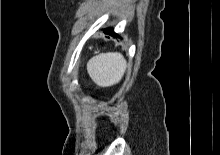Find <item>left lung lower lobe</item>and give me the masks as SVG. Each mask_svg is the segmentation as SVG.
Segmentation results:
<instances>
[{
  "instance_id": "obj_1",
  "label": "left lung lower lobe",
  "mask_w": 220,
  "mask_h": 155,
  "mask_svg": "<svg viewBox=\"0 0 220 155\" xmlns=\"http://www.w3.org/2000/svg\"><path fill=\"white\" fill-rule=\"evenodd\" d=\"M104 33L109 34V35H111V36L119 37V36L113 31L112 28L104 29Z\"/></svg>"
}]
</instances>
